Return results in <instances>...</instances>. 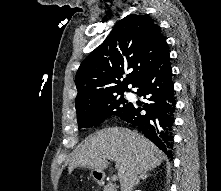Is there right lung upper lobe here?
<instances>
[{
    "mask_svg": "<svg viewBox=\"0 0 221 191\" xmlns=\"http://www.w3.org/2000/svg\"><path fill=\"white\" fill-rule=\"evenodd\" d=\"M167 43L148 15L121 19L104 42L81 63L75 77L77 113L135 87L166 53ZM127 71V77L123 74Z\"/></svg>",
    "mask_w": 221,
    "mask_h": 191,
    "instance_id": "1",
    "label": "right lung upper lobe"
}]
</instances>
